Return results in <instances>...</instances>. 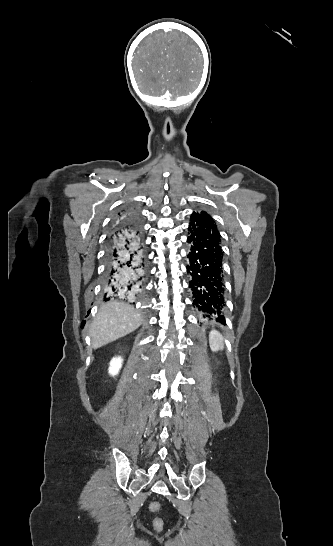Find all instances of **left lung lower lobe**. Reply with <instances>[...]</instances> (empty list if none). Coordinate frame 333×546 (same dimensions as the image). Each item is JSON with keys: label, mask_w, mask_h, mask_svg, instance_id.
<instances>
[{"label": "left lung lower lobe", "mask_w": 333, "mask_h": 546, "mask_svg": "<svg viewBox=\"0 0 333 546\" xmlns=\"http://www.w3.org/2000/svg\"><path fill=\"white\" fill-rule=\"evenodd\" d=\"M187 240L191 243L187 272L191 276L193 306L203 317H217L225 324L223 252L212 218L192 214Z\"/></svg>", "instance_id": "0a47b994"}]
</instances>
